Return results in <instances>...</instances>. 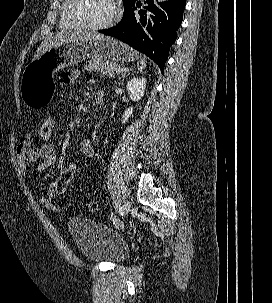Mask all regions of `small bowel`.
Listing matches in <instances>:
<instances>
[{
  "label": "small bowel",
  "mask_w": 272,
  "mask_h": 303,
  "mask_svg": "<svg viewBox=\"0 0 272 303\" xmlns=\"http://www.w3.org/2000/svg\"><path fill=\"white\" fill-rule=\"evenodd\" d=\"M77 77L76 72H66L60 76L63 84H71ZM81 152L92 158L95 155V149L89 138H84L80 143ZM17 161L21 170L25 173L28 171L29 163L36 162L37 170L43 171L58 161V153L54 147L41 142L36 143L31 133H25L19 140L16 147ZM56 195L54 183L47 187V193L39 198L40 203L48 210L56 211L53 204V198Z\"/></svg>",
  "instance_id": "obj_1"
}]
</instances>
